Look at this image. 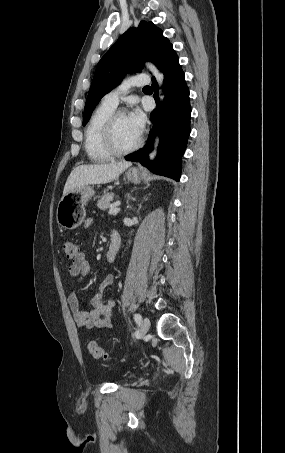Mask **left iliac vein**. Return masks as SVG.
<instances>
[{
  "instance_id": "1",
  "label": "left iliac vein",
  "mask_w": 285,
  "mask_h": 453,
  "mask_svg": "<svg viewBox=\"0 0 285 453\" xmlns=\"http://www.w3.org/2000/svg\"><path fill=\"white\" fill-rule=\"evenodd\" d=\"M149 328H150V320H149V318L144 317L141 322V326H140L141 334L145 335L148 332Z\"/></svg>"
}]
</instances>
